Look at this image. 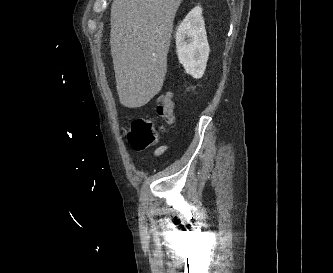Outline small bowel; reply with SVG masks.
<instances>
[{
	"mask_svg": "<svg viewBox=\"0 0 333 273\" xmlns=\"http://www.w3.org/2000/svg\"><path fill=\"white\" fill-rule=\"evenodd\" d=\"M167 150H168V145H161L155 150L154 154L155 156L159 157L163 155Z\"/></svg>",
	"mask_w": 333,
	"mask_h": 273,
	"instance_id": "c3829d8e",
	"label": "small bowel"
}]
</instances>
